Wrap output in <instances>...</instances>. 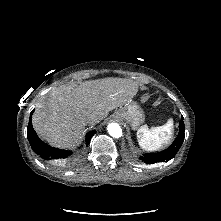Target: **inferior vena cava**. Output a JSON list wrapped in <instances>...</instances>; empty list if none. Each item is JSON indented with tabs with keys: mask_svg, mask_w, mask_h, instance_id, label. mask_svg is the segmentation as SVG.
Instances as JSON below:
<instances>
[{
	"mask_svg": "<svg viewBox=\"0 0 221 221\" xmlns=\"http://www.w3.org/2000/svg\"><path fill=\"white\" fill-rule=\"evenodd\" d=\"M84 123H85L86 125H90V124H92V121H91V119H86Z\"/></svg>",
	"mask_w": 221,
	"mask_h": 221,
	"instance_id": "inferior-vena-cava-1",
	"label": "inferior vena cava"
}]
</instances>
